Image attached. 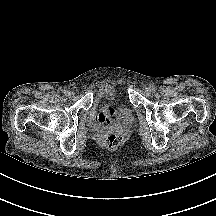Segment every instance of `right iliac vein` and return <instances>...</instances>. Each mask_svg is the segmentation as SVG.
I'll list each match as a JSON object with an SVG mask.
<instances>
[{"label":"right iliac vein","instance_id":"1","mask_svg":"<svg viewBox=\"0 0 216 216\" xmlns=\"http://www.w3.org/2000/svg\"><path fill=\"white\" fill-rule=\"evenodd\" d=\"M74 95H75V93H73V92H72V93H70V96H74Z\"/></svg>","mask_w":216,"mask_h":216}]
</instances>
